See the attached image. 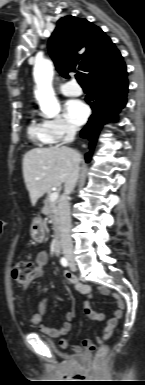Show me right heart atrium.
Wrapping results in <instances>:
<instances>
[{
  "mask_svg": "<svg viewBox=\"0 0 145 385\" xmlns=\"http://www.w3.org/2000/svg\"><path fill=\"white\" fill-rule=\"evenodd\" d=\"M44 126L49 136V144L58 143L76 131V127L62 116L44 121Z\"/></svg>",
  "mask_w": 145,
  "mask_h": 385,
  "instance_id": "d8ad5b80",
  "label": "right heart atrium"
}]
</instances>
